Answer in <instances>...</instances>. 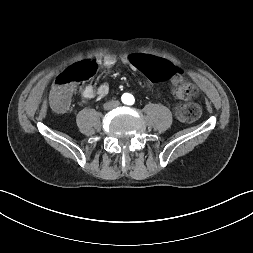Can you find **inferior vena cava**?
Here are the masks:
<instances>
[{"mask_svg": "<svg viewBox=\"0 0 253 253\" xmlns=\"http://www.w3.org/2000/svg\"><path fill=\"white\" fill-rule=\"evenodd\" d=\"M119 105V101H110L108 103H105L104 104V108L105 109H110V108H114V107H117Z\"/></svg>", "mask_w": 253, "mask_h": 253, "instance_id": "inferior-vena-cava-1", "label": "inferior vena cava"}]
</instances>
